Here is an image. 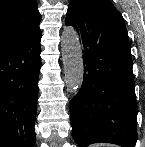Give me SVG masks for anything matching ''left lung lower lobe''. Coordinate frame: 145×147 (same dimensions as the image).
Here are the masks:
<instances>
[{"mask_svg":"<svg viewBox=\"0 0 145 147\" xmlns=\"http://www.w3.org/2000/svg\"><path fill=\"white\" fill-rule=\"evenodd\" d=\"M65 23L80 34L85 65L81 89L70 103L75 142L134 147L138 108L122 15L107 0H74Z\"/></svg>","mask_w":145,"mask_h":147,"instance_id":"0a47b994","label":"left lung lower lobe"}]
</instances>
